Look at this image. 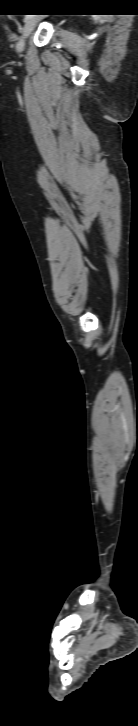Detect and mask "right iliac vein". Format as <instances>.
I'll return each mask as SVG.
<instances>
[{
  "instance_id": "63e3f726",
  "label": "right iliac vein",
  "mask_w": 138,
  "mask_h": 726,
  "mask_svg": "<svg viewBox=\"0 0 138 726\" xmlns=\"http://www.w3.org/2000/svg\"><path fill=\"white\" fill-rule=\"evenodd\" d=\"M38 20L39 19L36 18V17H30L26 21V23H25V25H24V27L22 29L21 37H20V39H19V41L17 43V50H18V52H22L24 50L25 41L29 37V35L31 34V32L33 31V29L35 28Z\"/></svg>"
}]
</instances>
